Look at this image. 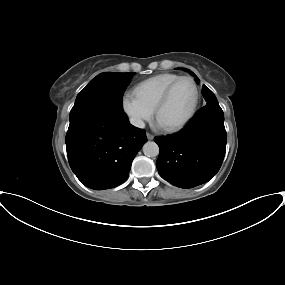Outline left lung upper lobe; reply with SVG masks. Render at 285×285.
Wrapping results in <instances>:
<instances>
[{
	"label": "left lung upper lobe",
	"mask_w": 285,
	"mask_h": 285,
	"mask_svg": "<svg viewBox=\"0 0 285 285\" xmlns=\"http://www.w3.org/2000/svg\"><path fill=\"white\" fill-rule=\"evenodd\" d=\"M189 72L195 76L192 71L189 70ZM195 81L199 83V79L196 78ZM202 94L207 102L205 107H220L214 93L205 85L202 88Z\"/></svg>",
	"instance_id": "obj_1"
}]
</instances>
